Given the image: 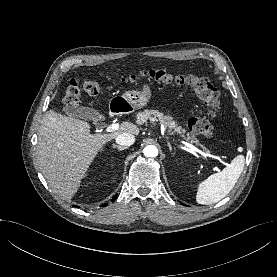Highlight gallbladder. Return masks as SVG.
Masks as SVG:
<instances>
[{"instance_id": "1", "label": "gallbladder", "mask_w": 277, "mask_h": 277, "mask_svg": "<svg viewBox=\"0 0 277 277\" xmlns=\"http://www.w3.org/2000/svg\"><path fill=\"white\" fill-rule=\"evenodd\" d=\"M63 111L69 116L91 120L93 122H97L102 118L97 110L80 105H66L63 107Z\"/></svg>"}]
</instances>
